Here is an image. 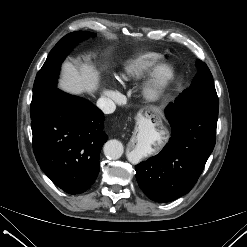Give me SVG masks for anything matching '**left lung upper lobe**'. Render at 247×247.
<instances>
[{"label": "left lung upper lobe", "instance_id": "1", "mask_svg": "<svg viewBox=\"0 0 247 247\" xmlns=\"http://www.w3.org/2000/svg\"><path fill=\"white\" fill-rule=\"evenodd\" d=\"M196 65L198 67L196 76L192 80L190 87L184 90L179 97L185 95H198L214 104H219L213 77L209 68L201 60H197Z\"/></svg>", "mask_w": 247, "mask_h": 247}]
</instances>
